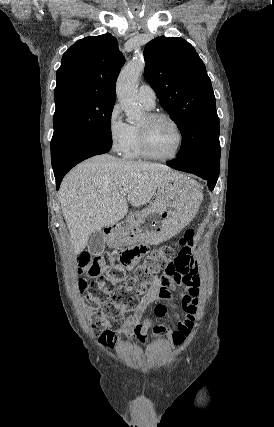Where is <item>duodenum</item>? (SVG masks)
<instances>
[{
    "instance_id": "1",
    "label": "duodenum",
    "mask_w": 274,
    "mask_h": 427,
    "mask_svg": "<svg viewBox=\"0 0 274 427\" xmlns=\"http://www.w3.org/2000/svg\"><path fill=\"white\" fill-rule=\"evenodd\" d=\"M114 227H115V226H112V227L108 228V231H109V232H112V231L114 230Z\"/></svg>"
}]
</instances>
